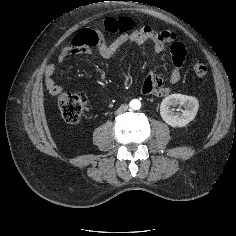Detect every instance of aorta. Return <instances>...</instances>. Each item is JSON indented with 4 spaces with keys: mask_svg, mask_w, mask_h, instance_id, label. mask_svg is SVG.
<instances>
[{
    "mask_svg": "<svg viewBox=\"0 0 236 236\" xmlns=\"http://www.w3.org/2000/svg\"><path fill=\"white\" fill-rule=\"evenodd\" d=\"M130 107L133 110H138L141 108V102L138 99H133L130 101Z\"/></svg>",
    "mask_w": 236,
    "mask_h": 236,
    "instance_id": "obj_1",
    "label": "aorta"
}]
</instances>
